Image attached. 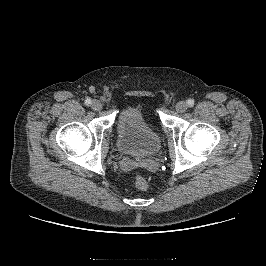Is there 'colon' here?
<instances>
[{
  "mask_svg": "<svg viewBox=\"0 0 266 266\" xmlns=\"http://www.w3.org/2000/svg\"><path fill=\"white\" fill-rule=\"evenodd\" d=\"M134 184L139 190H146L149 187V179L143 175H136L134 177Z\"/></svg>",
  "mask_w": 266,
  "mask_h": 266,
  "instance_id": "5ec220e1",
  "label": "colon"
}]
</instances>
